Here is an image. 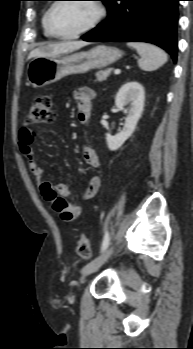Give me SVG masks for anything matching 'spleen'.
<instances>
[{
    "label": "spleen",
    "mask_w": 193,
    "mask_h": 349,
    "mask_svg": "<svg viewBox=\"0 0 193 349\" xmlns=\"http://www.w3.org/2000/svg\"><path fill=\"white\" fill-rule=\"evenodd\" d=\"M127 46L137 50L141 57L138 60V65L144 71L156 70L168 61L167 54L155 45L143 42H128Z\"/></svg>",
    "instance_id": "spleen-1"
}]
</instances>
